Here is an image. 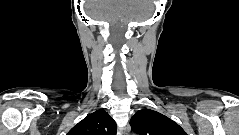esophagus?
Here are the masks:
<instances>
[{
    "label": "esophagus",
    "instance_id": "obj_1",
    "mask_svg": "<svg viewBox=\"0 0 239 135\" xmlns=\"http://www.w3.org/2000/svg\"><path fill=\"white\" fill-rule=\"evenodd\" d=\"M119 134H120V135H127V134H128L127 128H122V129H120Z\"/></svg>",
    "mask_w": 239,
    "mask_h": 135
}]
</instances>
